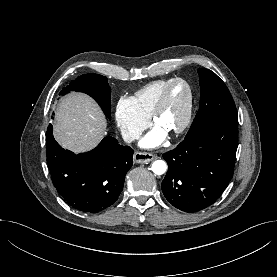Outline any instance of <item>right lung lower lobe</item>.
I'll list each match as a JSON object with an SVG mask.
<instances>
[{
	"label": "right lung lower lobe",
	"mask_w": 277,
	"mask_h": 277,
	"mask_svg": "<svg viewBox=\"0 0 277 277\" xmlns=\"http://www.w3.org/2000/svg\"><path fill=\"white\" fill-rule=\"evenodd\" d=\"M52 134L50 124L47 163L53 184L66 202L87 213H98L114 204L133 164V149L109 136L90 152L76 155L63 149Z\"/></svg>",
	"instance_id": "obj_1"
}]
</instances>
